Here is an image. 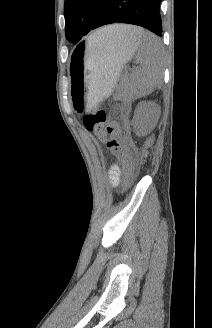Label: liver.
I'll list each match as a JSON object with an SVG mask.
<instances>
[{"label": "liver", "mask_w": 212, "mask_h": 328, "mask_svg": "<svg viewBox=\"0 0 212 328\" xmlns=\"http://www.w3.org/2000/svg\"><path fill=\"white\" fill-rule=\"evenodd\" d=\"M139 28L130 25H111L96 31L101 39L100 45L124 44L132 40Z\"/></svg>", "instance_id": "liver-1"}]
</instances>
